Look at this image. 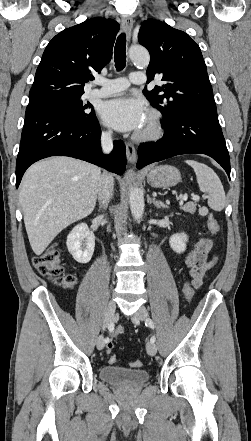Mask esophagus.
<instances>
[{
  "mask_svg": "<svg viewBox=\"0 0 251 441\" xmlns=\"http://www.w3.org/2000/svg\"><path fill=\"white\" fill-rule=\"evenodd\" d=\"M121 25L123 30L125 31L126 35H127V39H130L131 36V30L133 27V20L131 17L129 16H125L121 19ZM126 154H127V158L129 160L130 163H135L136 162V149L134 147L133 144L131 143H126Z\"/></svg>",
  "mask_w": 251,
  "mask_h": 441,
  "instance_id": "34e87169",
  "label": "esophagus"
}]
</instances>
